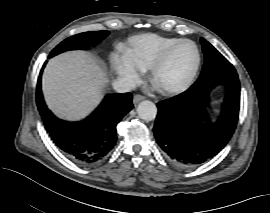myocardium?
<instances>
[{"label":"myocardium","mask_w":270,"mask_h":213,"mask_svg":"<svg viewBox=\"0 0 270 213\" xmlns=\"http://www.w3.org/2000/svg\"><path fill=\"white\" fill-rule=\"evenodd\" d=\"M182 43H188L191 44L195 50L196 53V64L195 67L192 71V73L190 74V76L183 81L181 84L176 85V86H172V87H164V88H160L157 87L155 85V75L157 70L159 69V67L166 61V59L168 58L169 54L171 53V51L178 45L182 44ZM200 63H201V56H200V52L199 49L197 47V45L189 40V39H179L173 43H171L169 46H167L164 50H162L160 52V54L151 62L150 66H149V71H150V82L152 85H154L155 87H157L158 91L162 94V95H173V94H178L181 93L185 90H187L193 83V81L195 80L199 67H200Z\"/></svg>","instance_id":"obj_1"}]
</instances>
